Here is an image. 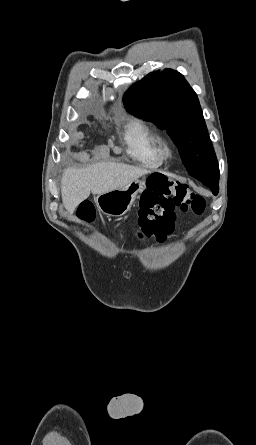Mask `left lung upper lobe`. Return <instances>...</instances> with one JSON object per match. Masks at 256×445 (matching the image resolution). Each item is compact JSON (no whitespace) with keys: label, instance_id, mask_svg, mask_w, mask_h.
I'll list each match as a JSON object with an SVG mask.
<instances>
[{"label":"left lung upper lobe","instance_id":"5c2ea615","mask_svg":"<svg viewBox=\"0 0 256 445\" xmlns=\"http://www.w3.org/2000/svg\"><path fill=\"white\" fill-rule=\"evenodd\" d=\"M128 111L166 129L191 176L219 177V165L196 93L172 69L148 74L124 95Z\"/></svg>","mask_w":256,"mask_h":445}]
</instances>
